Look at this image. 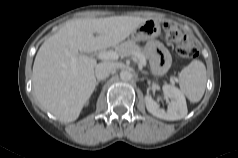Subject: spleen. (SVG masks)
Segmentation results:
<instances>
[{
  "instance_id": "spleen-1",
  "label": "spleen",
  "mask_w": 238,
  "mask_h": 158,
  "mask_svg": "<svg viewBox=\"0 0 238 158\" xmlns=\"http://www.w3.org/2000/svg\"><path fill=\"white\" fill-rule=\"evenodd\" d=\"M206 82V67L199 60H193L179 74L180 89L193 103L199 102L202 99Z\"/></svg>"
}]
</instances>
